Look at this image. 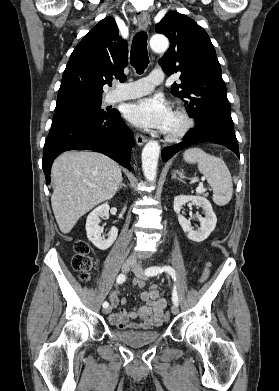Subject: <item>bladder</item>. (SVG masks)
I'll list each match as a JSON object with an SVG mask.
<instances>
[{"label":"bladder","instance_id":"obj_1","mask_svg":"<svg viewBox=\"0 0 279 391\" xmlns=\"http://www.w3.org/2000/svg\"><path fill=\"white\" fill-rule=\"evenodd\" d=\"M113 336L131 347H142L154 343L159 338L157 331H127V330H112Z\"/></svg>","mask_w":279,"mask_h":391}]
</instances>
